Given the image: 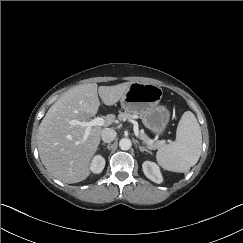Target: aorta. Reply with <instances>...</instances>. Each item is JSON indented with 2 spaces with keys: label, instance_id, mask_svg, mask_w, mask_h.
I'll list each match as a JSON object with an SVG mask.
<instances>
[{
  "label": "aorta",
  "instance_id": "762f6f07",
  "mask_svg": "<svg viewBox=\"0 0 243 243\" xmlns=\"http://www.w3.org/2000/svg\"><path fill=\"white\" fill-rule=\"evenodd\" d=\"M132 146V142L129 138H122L120 141H119V147L122 149V150H128L130 149Z\"/></svg>",
  "mask_w": 243,
  "mask_h": 243
}]
</instances>
